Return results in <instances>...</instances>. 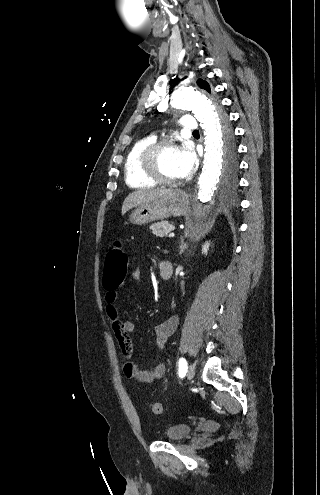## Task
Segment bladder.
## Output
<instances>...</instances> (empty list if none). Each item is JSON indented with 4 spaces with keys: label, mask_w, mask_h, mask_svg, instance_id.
I'll use <instances>...</instances> for the list:
<instances>
[{
    "label": "bladder",
    "mask_w": 320,
    "mask_h": 495,
    "mask_svg": "<svg viewBox=\"0 0 320 495\" xmlns=\"http://www.w3.org/2000/svg\"><path fill=\"white\" fill-rule=\"evenodd\" d=\"M192 431V426L188 423H177L167 427L164 431V438L168 441H179L187 437Z\"/></svg>",
    "instance_id": "1"
}]
</instances>
